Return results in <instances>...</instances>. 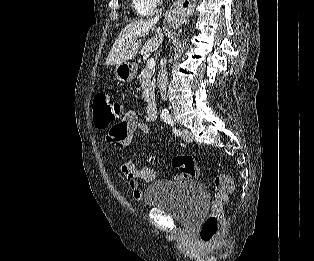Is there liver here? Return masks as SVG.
Segmentation results:
<instances>
[{"label":"liver","mask_w":314,"mask_h":261,"mask_svg":"<svg viewBox=\"0 0 314 261\" xmlns=\"http://www.w3.org/2000/svg\"><path fill=\"white\" fill-rule=\"evenodd\" d=\"M157 21V19H147L128 24L116 38L106 59V65H118L134 58L141 47L142 39L151 29H154ZM155 31V36L141 48V54L157 51L163 42L162 30L158 27Z\"/></svg>","instance_id":"liver-1"}]
</instances>
